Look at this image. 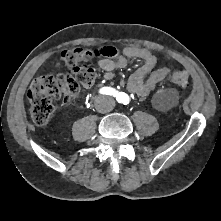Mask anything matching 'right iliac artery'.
Segmentation results:
<instances>
[{
    "instance_id": "right-iliac-artery-1",
    "label": "right iliac artery",
    "mask_w": 221,
    "mask_h": 221,
    "mask_svg": "<svg viewBox=\"0 0 221 221\" xmlns=\"http://www.w3.org/2000/svg\"><path fill=\"white\" fill-rule=\"evenodd\" d=\"M100 94H104V95H112V96H118V92L111 88V87H103L100 89Z\"/></svg>"
}]
</instances>
